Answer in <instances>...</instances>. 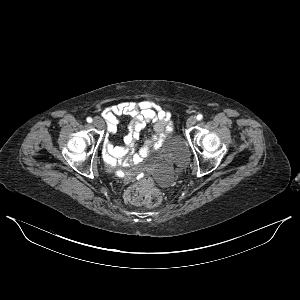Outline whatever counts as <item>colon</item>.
I'll return each mask as SVG.
<instances>
[{
  "label": "colon",
  "instance_id": "1",
  "mask_svg": "<svg viewBox=\"0 0 300 300\" xmlns=\"http://www.w3.org/2000/svg\"><path fill=\"white\" fill-rule=\"evenodd\" d=\"M127 199L135 205L157 207L161 203V194L152 179H144L131 185L126 192Z\"/></svg>",
  "mask_w": 300,
  "mask_h": 300
}]
</instances>
